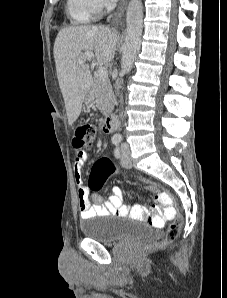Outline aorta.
Returning a JSON list of instances; mask_svg holds the SVG:
<instances>
[{"mask_svg":"<svg viewBox=\"0 0 227 298\" xmlns=\"http://www.w3.org/2000/svg\"><path fill=\"white\" fill-rule=\"evenodd\" d=\"M143 5L141 0H130L126 13V38L121 58V72L131 71L141 47Z\"/></svg>","mask_w":227,"mask_h":298,"instance_id":"obj_1","label":"aorta"}]
</instances>
